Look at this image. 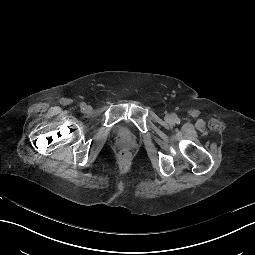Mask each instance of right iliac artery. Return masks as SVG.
<instances>
[{"mask_svg": "<svg viewBox=\"0 0 255 255\" xmlns=\"http://www.w3.org/2000/svg\"><path fill=\"white\" fill-rule=\"evenodd\" d=\"M80 107H81V109H85V107H86V104L84 103V102H82L81 104H80Z\"/></svg>", "mask_w": 255, "mask_h": 255, "instance_id": "82829eb1", "label": "right iliac artery"}]
</instances>
